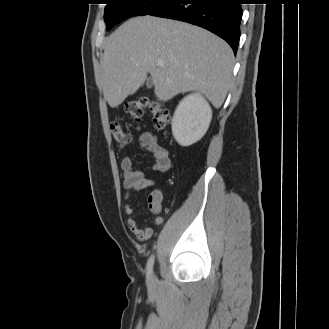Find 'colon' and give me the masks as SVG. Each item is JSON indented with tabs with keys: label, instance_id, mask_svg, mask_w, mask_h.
Segmentation results:
<instances>
[{
	"label": "colon",
	"instance_id": "colon-1",
	"mask_svg": "<svg viewBox=\"0 0 329 329\" xmlns=\"http://www.w3.org/2000/svg\"><path fill=\"white\" fill-rule=\"evenodd\" d=\"M124 111L130 119L137 122L141 121L144 114L148 112L154 124L161 131H165L171 123L170 109L162 102L152 100L145 95L126 102ZM111 132L119 146L125 147L131 143L130 135L119 123L111 124Z\"/></svg>",
	"mask_w": 329,
	"mask_h": 329
}]
</instances>
